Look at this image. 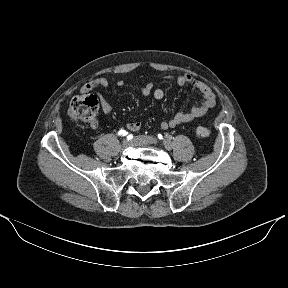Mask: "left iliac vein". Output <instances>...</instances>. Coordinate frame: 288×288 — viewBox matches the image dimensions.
I'll return each mask as SVG.
<instances>
[{
	"mask_svg": "<svg viewBox=\"0 0 288 288\" xmlns=\"http://www.w3.org/2000/svg\"><path fill=\"white\" fill-rule=\"evenodd\" d=\"M142 139L144 143H157V139L152 136H145ZM163 145L167 150H170L172 147L171 142L168 140H164Z\"/></svg>",
	"mask_w": 288,
	"mask_h": 288,
	"instance_id": "obj_1",
	"label": "left iliac vein"
}]
</instances>
